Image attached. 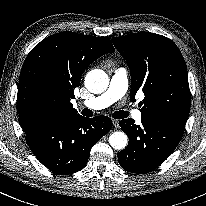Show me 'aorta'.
I'll list each match as a JSON object with an SVG mask.
<instances>
[{
    "instance_id": "762f6f07",
    "label": "aorta",
    "mask_w": 206,
    "mask_h": 206,
    "mask_svg": "<svg viewBox=\"0 0 206 206\" xmlns=\"http://www.w3.org/2000/svg\"><path fill=\"white\" fill-rule=\"evenodd\" d=\"M109 85L108 75L100 69H94L87 73L85 77L86 88L95 94L104 92ZM112 148L122 150L127 146L128 138L124 132H114L109 137Z\"/></svg>"
}]
</instances>
